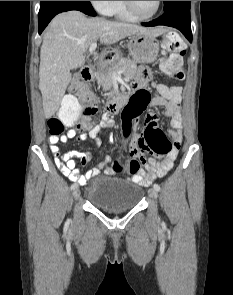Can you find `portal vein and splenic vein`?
Segmentation results:
<instances>
[{"mask_svg":"<svg viewBox=\"0 0 233 295\" xmlns=\"http://www.w3.org/2000/svg\"><path fill=\"white\" fill-rule=\"evenodd\" d=\"M96 47H97V43H96V42H94V43H92V44L90 45V47H89V52H90V54H94V53H95ZM122 72H123V71L121 70V71H119L118 73H122Z\"/></svg>","mask_w":233,"mask_h":295,"instance_id":"18ae733b","label":"portal vein and splenic vein"}]
</instances>
